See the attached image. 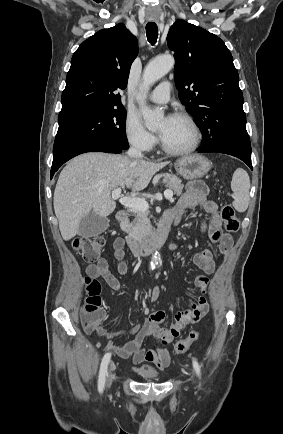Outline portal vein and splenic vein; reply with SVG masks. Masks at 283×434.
Wrapping results in <instances>:
<instances>
[{
  "label": "portal vein and splenic vein",
  "mask_w": 283,
  "mask_h": 434,
  "mask_svg": "<svg viewBox=\"0 0 283 434\" xmlns=\"http://www.w3.org/2000/svg\"><path fill=\"white\" fill-rule=\"evenodd\" d=\"M120 194H121V188L120 187L116 188L112 192V198L113 199H119V202L123 206H125L127 208H131L135 211H140V212L148 211L149 205L145 201V199L137 198V197H121L120 198ZM164 197L166 199H168L169 201H173V192L171 190H166L164 192Z\"/></svg>",
  "instance_id": "portal-vein-and-splenic-vein-1"
}]
</instances>
